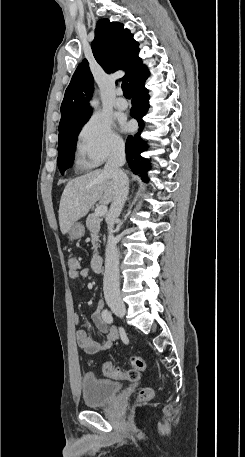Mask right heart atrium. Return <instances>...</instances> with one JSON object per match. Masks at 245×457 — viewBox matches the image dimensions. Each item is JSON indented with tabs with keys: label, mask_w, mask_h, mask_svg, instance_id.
<instances>
[{
	"label": "right heart atrium",
	"mask_w": 245,
	"mask_h": 457,
	"mask_svg": "<svg viewBox=\"0 0 245 457\" xmlns=\"http://www.w3.org/2000/svg\"><path fill=\"white\" fill-rule=\"evenodd\" d=\"M77 144L91 161L101 163L122 149L123 140L109 119L92 115L81 127Z\"/></svg>",
	"instance_id": "d8ad5b80"
}]
</instances>
